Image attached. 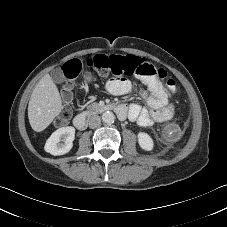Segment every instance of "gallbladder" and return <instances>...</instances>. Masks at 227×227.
Listing matches in <instances>:
<instances>
[{
    "instance_id": "obj_1",
    "label": "gallbladder",
    "mask_w": 227,
    "mask_h": 227,
    "mask_svg": "<svg viewBox=\"0 0 227 227\" xmlns=\"http://www.w3.org/2000/svg\"><path fill=\"white\" fill-rule=\"evenodd\" d=\"M51 77L56 83H62L65 81V76L60 68H56L51 72Z\"/></svg>"
}]
</instances>
